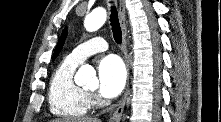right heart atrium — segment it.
I'll use <instances>...</instances> for the list:
<instances>
[{"mask_svg":"<svg viewBox=\"0 0 221 122\" xmlns=\"http://www.w3.org/2000/svg\"><path fill=\"white\" fill-rule=\"evenodd\" d=\"M90 97V99L92 100L93 99V97L92 96H89Z\"/></svg>","mask_w":221,"mask_h":122,"instance_id":"obj_1","label":"right heart atrium"}]
</instances>
